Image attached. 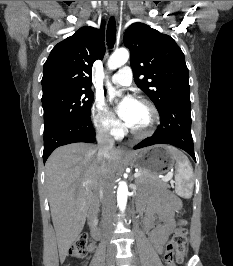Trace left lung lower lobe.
<instances>
[{
    "label": "left lung lower lobe",
    "instance_id": "0a47b994",
    "mask_svg": "<svg viewBox=\"0 0 233 266\" xmlns=\"http://www.w3.org/2000/svg\"><path fill=\"white\" fill-rule=\"evenodd\" d=\"M160 126L151 136L134 146L139 149L154 144H170L185 150L195 159L191 135L190 96H183L169 101L161 110Z\"/></svg>",
    "mask_w": 233,
    "mask_h": 266
}]
</instances>
